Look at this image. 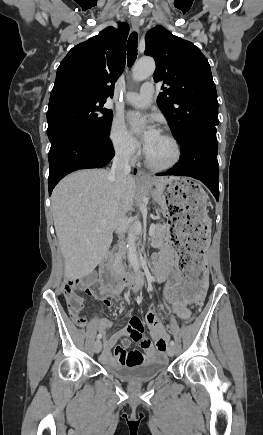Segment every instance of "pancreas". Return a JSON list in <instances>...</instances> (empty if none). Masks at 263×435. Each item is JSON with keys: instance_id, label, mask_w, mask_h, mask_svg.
Here are the masks:
<instances>
[{"instance_id": "cf45deb5", "label": "pancreas", "mask_w": 263, "mask_h": 435, "mask_svg": "<svg viewBox=\"0 0 263 435\" xmlns=\"http://www.w3.org/2000/svg\"><path fill=\"white\" fill-rule=\"evenodd\" d=\"M167 232L166 225L157 224L155 225V230L151 238V245L155 248L160 247V244L163 242L165 234Z\"/></svg>"}]
</instances>
